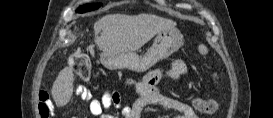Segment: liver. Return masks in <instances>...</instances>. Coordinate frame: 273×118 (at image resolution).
I'll use <instances>...</instances> for the list:
<instances>
[{
    "instance_id": "1",
    "label": "liver",
    "mask_w": 273,
    "mask_h": 118,
    "mask_svg": "<svg viewBox=\"0 0 273 118\" xmlns=\"http://www.w3.org/2000/svg\"><path fill=\"white\" fill-rule=\"evenodd\" d=\"M176 23L152 14H109L94 24L95 42L104 53L134 52L163 29ZM101 35L98 36V33ZM73 70L66 67L58 74L51 93L58 107L66 105L73 93Z\"/></svg>"
}]
</instances>
